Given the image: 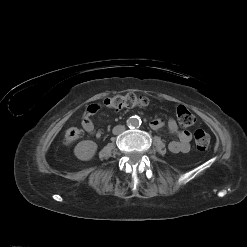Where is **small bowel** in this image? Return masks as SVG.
Masks as SVG:
<instances>
[{
	"instance_id": "1",
	"label": "small bowel",
	"mask_w": 247,
	"mask_h": 247,
	"mask_svg": "<svg viewBox=\"0 0 247 247\" xmlns=\"http://www.w3.org/2000/svg\"><path fill=\"white\" fill-rule=\"evenodd\" d=\"M98 111V106L92 104L88 106L82 119L83 129L96 137L102 135L101 130H97L91 117ZM167 126L170 133L176 135L177 140H173L169 143L168 148L172 153H187L190 150V142L192 135L188 130H179L178 125L174 119H169L165 122L163 119L157 118L151 121L150 126L153 130H160L164 126Z\"/></svg>"
}]
</instances>
